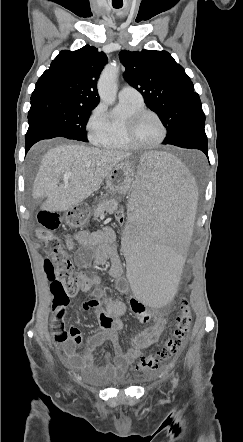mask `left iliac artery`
<instances>
[{
	"mask_svg": "<svg viewBox=\"0 0 243 442\" xmlns=\"http://www.w3.org/2000/svg\"><path fill=\"white\" fill-rule=\"evenodd\" d=\"M173 383L176 384L177 383V379L174 377L173 378Z\"/></svg>",
	"mask_w": 243,
	"mask_h": 442,
	"instance_id": "1",
	"label": "left iliac artery"
}]
</instances>
